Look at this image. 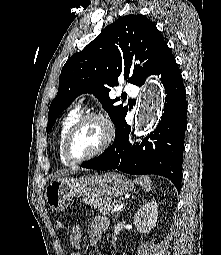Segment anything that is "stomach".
<instances>
[{"instance_id": "1", "label": "stomach", "mask_w": 221, "mask_h": 255, "mask_svg": "<svg viewBox=\"0 0 221 255\" xmlns=\"http://www.w3.org/2000/svg\"><path fill=\"white\" fill-rule=\"evenodd\" d=\"M133 183L125 176L108 172L86 175L81 178L62 176L52 180L46 187L45 199L52 210L66 209L74 197L82 196L89 203L102 196H123L132 192Z\"/></svg>"}]
</instances>
